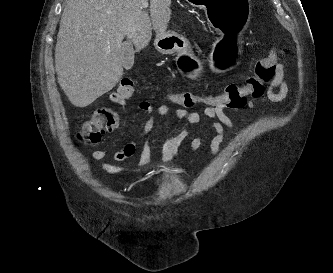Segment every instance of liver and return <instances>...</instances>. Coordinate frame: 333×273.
Returning a JSON list of instances; mask_svg holds the SVG:
<instances>
[{
    "label": "liver",
    "instance_id": "1",
    "mask_svg": "<svg viewBox=\"0 0 333 273\" xmlns=\"http://www.w3.org/2000/svg\"><path fill=\"white\" fill-rule=\"evenodd\" d=\"M68 0L55 47L58 83L76 107H86L112 90L123 76L122 41L144 49L152 29L164 33L171 0Z\"/></svg>",
    "mask_w": 333,
    "mask_h": 273
}]
</instances>
